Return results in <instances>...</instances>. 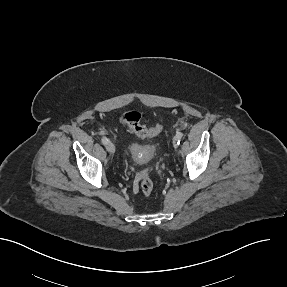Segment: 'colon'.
Listing matches in <instances>:
<instances>
[{"label":"colon","mask_w":287,"mask_h":287,"mask_svg":"<svg viewBox=\"0 0 287 287\" xmlns=\"http://www.w3.org/2000/svg\"><path fill=\"white\" fill-rule=\"evenodd\" d=\"M121 123L131 132L141 138H154L163 131V124L156 123L153 126H145L141 122V115L136 111H127L122 114ZM136 187L146 196H150L153 191V183L147 170H143L138 177Z\"/></svg>","instance_id":"5ec220e1"}]
</instances>
